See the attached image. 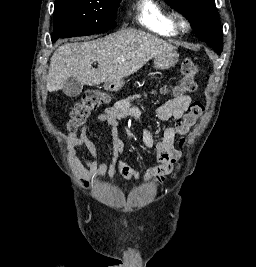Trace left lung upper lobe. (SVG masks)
Masks as SVG:
<instances>
[{"mask_svg": "<svg viewBox=\"0 0 256 267\" xmlns=\"http://www.w3.org/2000/svg\"><path fill=\"white\" fill-rule=\"evenodd\" d=\"M191 23L197 37L218 54L222 52V32L214 0H165Z\"/></svg>", "mask_w": 256, "mask_h": 267, "instance_id": "left-lung-upper-lobe-1", "label": "left lung upper lobe"}]
</instances>
